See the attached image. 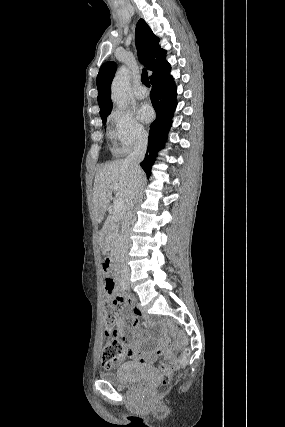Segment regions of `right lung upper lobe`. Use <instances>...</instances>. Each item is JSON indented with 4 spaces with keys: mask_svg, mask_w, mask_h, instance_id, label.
Here are the masks:
<instances>
[{
    "mask_svg": "<svg viewBox=\"0 0 285 427\" xmlns=\"http://www.w3.org/2000/svg\"><path fill=\"white\" fill-rule=\"evenodd\" d=\"M158 44L159 38L153 34L146 22L140 19L136 26V45L140 61L153 71L150 76L151 82L162 79L171 70L170 64L166 61V51L161 49ZM116 67L114 62H107L100 67L97 75L96 84L99 92L97 99L101 119L107 118L112 110L110 87Z\"/></svg>",
    "mask_w": 285,
    "mask_h": 427,
    "instance_id": "1",
    "label": "right lung upper lobe"
}]
</instances>
